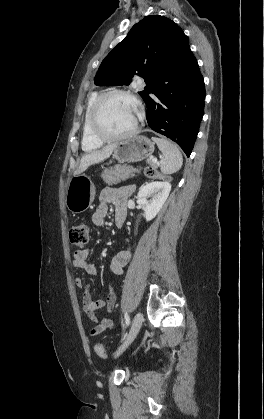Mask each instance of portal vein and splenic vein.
<instances>
[{
	"mask_svg": "<svg viewBox=\"0 0 264 419\" xmlns=\"http://www.w3.org/2000/svg\"><path fill=\"white\" fill-rule=\"evenodd\" d=\"M152 162L153 163H157V159L156 158H152Z\"/></svg>",
	"mask_w": 264,
	"mask_h": 419,
	"instance_id": "portal-vein-and-splenic-vein-1",
	"label": "portal vein and splenic vein"
}]
</instances>
